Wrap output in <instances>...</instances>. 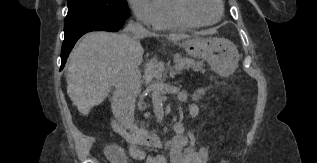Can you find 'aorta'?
Returning a JSON list of instances; mask_svg holds the SVG:
<instances>
[{
    "instance_id": "obj_1",
    "label": "aorta",
    "mask_w": 317,
    "mask_h": 163,
    "mask_svg": "<svg viewBox=\"0 0 317 163\" xmlns=\"http://www.w3.org/2000/svg\"><path fill=\"white\" fill-rule=\"evenodd\" d=\"M158 76V71L153 64H150L147 69V82L149 83V88L151 90L152 105L154 113L158 122H162L164 118V107L163 100L160 94L156 78Z\"/></svg>"
}]
</instances>
